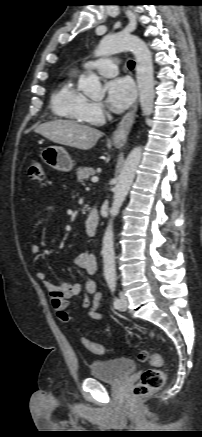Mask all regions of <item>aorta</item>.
<instances>
[{"instance_id":"obj_1","label":"aorta","mask_w":202,"mask_h":437,"mask_svg":"<svg viewBox=\"0 0 202 437\" xmlns=\"http://www.w3.org/2000/svg\"><path fill=\"white\" fill-rule=\"evenodd\" d=\"M122 51H131L135 57L140 106L143 114L148 116L153 111L155 93L152 55L146 43L139 37L125 32L107 35L102 38L95 50V55L109 56ZM79 88L90 98L98 99L104 96L99 77L96 74L81 78ZM142 151V147L138 146L129 153L120 172L118 183L114 188L113 203L110 209L111 218L102 241L104 276L106 278H114L116 273L113 219L118 215L133 183L136 170L141 161Z\"/></svg>"}]
</instances>
